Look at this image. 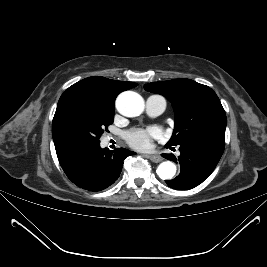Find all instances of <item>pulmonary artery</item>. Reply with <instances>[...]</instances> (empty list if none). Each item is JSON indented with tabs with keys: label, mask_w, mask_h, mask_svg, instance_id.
Listing matches in <instances>:
<instances>
[{
	"label": "pulmonary artery",
	"mask_w": 267,
	"mask_h": 267,
	"mask_svg": "<svg viewBox=\"0 0 267 267\" xmlns=\"http://www.w3.org/2000/svg\"><path fill=\"white\" fill-rule=\"evenodd\" d=\"M166 99L160 95H151L146 99V110L151 116L162 114L166 109Z\"/></svg>",
	"instance_id": "1"
}]
</instances>
